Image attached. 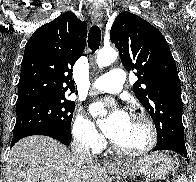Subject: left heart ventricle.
I'll list each match as a JSON object with an SVG mask.
<instances>
[{
    "mask_svg": "<svg viewBox=\"0 0 196 182\" xmlns=\"http://www.w3.org/2000/svg\"><path fill=\"white\" fill-rule=\"evenodd\" d=\"M148 138L145 124L139 119L129 117L125 129L114 141L123 148L137 150L147 144Z\"/></svg>",
    "mask_w": 196,
    "mask_h": 182,
    "instance_id": "1",
    "label": "left heart ventricle"
}]
</instances>
